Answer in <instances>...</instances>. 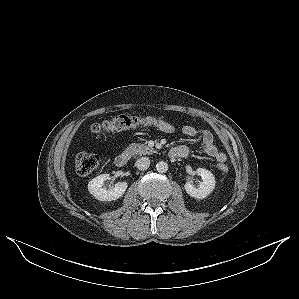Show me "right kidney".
I'll return each instance as SVG.
<instances>
[{"label": "right kidney", "mask_w": 299, "mask_h": 299, "mask_svg": "<svg viewBox=\"0 0 299 299\" xmlns=\"http://www.w3.org/2000/svg\"><path fill=\"white\" fill-rule=\"evenodd\" d=\"M110 179L109 174H102L93 178L88 183L89 192L100 201H113L120 198L126 191L128 187L127 182H118L115 187L107 189L103 187L106 180Z\"/></svg>", "instance_id": "right-kidney-1"}]
</instances>
